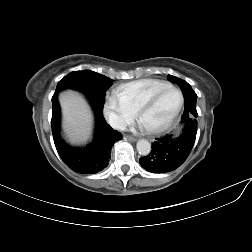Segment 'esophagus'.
<instances>
[{
    "label": "esophagus",
    "instance_id": "esophagus-1",
    "mask_svg": "<svg viewBox=\"0 0 252 252\" xmlns=\"http://www.w3.org/2000/svg\"><path fill=\"white\" fill-rule=\"evenodd\" d=\"M124 138L127 139V140H129V141H131V142L137 141L136 138H134V137H132V136H128V135H125Z\"/></svg>",
    "mask_w": 252,
    "mask_h": 252
}]
</instances>
